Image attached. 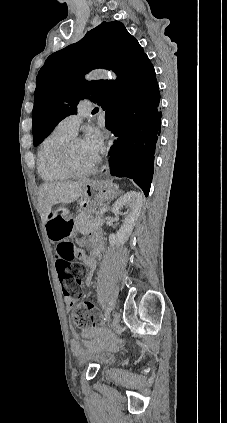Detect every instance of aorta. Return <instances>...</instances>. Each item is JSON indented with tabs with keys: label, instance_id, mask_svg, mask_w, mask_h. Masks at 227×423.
I'll use <instances>...</instances> for the list:
<instances>
[{
	"label": "aorta",
	"instance_id": "762f6f07",
	"mask_svg": "<svg viewBox=\"0 0 227 423\" xmlns=\"http://www.w3.org/2000/svg\"><path fill=\"white\" fill-rule=\"evenodd\" d=\"M113 76L115 77V75H113ZM108 77L110 78L111 74H109L105 71H102V70L94 71L88 76L89 79H93V80L104 79V78H108Z\"/></svg>",
	"mask_w": 227,
	"mask_h": 423
}]
</instances>
